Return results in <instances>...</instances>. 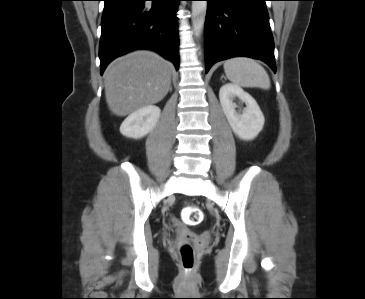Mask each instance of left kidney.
I'll return each mask as SVG.
<instances>
[{"instance_id": "obj_1", "label": "left kidney", "mask_w": 365, "mask_h": 299, "mask_svg": "<svg viewBox=\"0 0 365 299\" xmlns=\"http://www.w3.org/2000/svg\"><path fill=\"white\" fill-rule=\"evenodd\" d=\"M219 99L230 127L240 139L253 140L261 132L265 119L251 95L236 85L225 84L220 88ZM241 103L246 107L237 111Z\"/></svg>"}]
</instances>
